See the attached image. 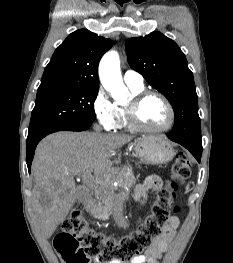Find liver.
Listing matches in <instances>:
<instances>
[{"label": "liver", "instance_id": "obj_1", "mask_svg": "<svg viewBox=\"0 0 233 263\" xmlns=\"http://www.w3.org/2000/svg\"><path fill=\"white\" fill-rule=\"evenodd\" d=\"M133 138L127 134L57 132L38 144L32 163L36 182L33 200L46 239L76 202L79 189L74 177L93 171L97 180H112L111 154Z\"/></svg>", "mask_w": 233, "mask_h": 263}]
</instances>
